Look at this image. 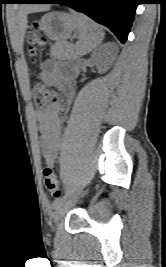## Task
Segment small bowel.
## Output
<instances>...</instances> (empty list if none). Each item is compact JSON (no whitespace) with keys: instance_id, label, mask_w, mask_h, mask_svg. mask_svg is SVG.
Here are the masks:
<instances>
[{"instance_id":"small-bowel-1","label":"small bowel","mask_w":166,"mask_h":267,"mask_svg":"<svg viewBox=\"0 0 166 267\" xmlns=\"http://www.w3.org/2000/svg\"><path fill=\"white\" fill-rule=\"evenodd\" d=\"M76 69L62 70L54 59L46 60L40 73V79L47 85L58 88L67 102L74 97L71 80L76 76ZM40 135V147L47 164L54 165L61 148L63 121L60 117V106L55 104L45 110L35 112Z\"/></svg>"}]
</instances>
